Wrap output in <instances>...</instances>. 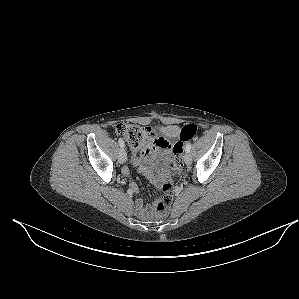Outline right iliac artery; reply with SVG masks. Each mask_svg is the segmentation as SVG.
I'll use <instances>...</instances> for the list:
<instances>
[{
  "instance_id": "right-iliac-artery-1",
  "label": "right iliac artery",
  "mask_w": 299,
  "mask_h": 299,
  "mask_svg": "<svg viewBox=\"0 0 299 299\" xmlns=\"http://www.w3.org/2000/svg\"><path fill=\"white\" fill-rule=\"evenodd\" d=\"M118 143H119L120 147H121L122 149H124V147H125V143H124L123 139L120 138L119 141H118Z\"/></svg>"
}]
</instances>
